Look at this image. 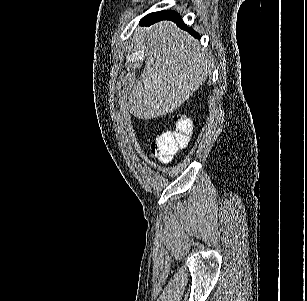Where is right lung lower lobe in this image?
I'll return each instance as SVG.
<instances>
[{"instance_id": "right-lung-lower-lobe-1", "label": "right lung lower lobe", "mask_w": 307, "mask_h": 301, "mask_svg": "<svg viewBox=\"0 0 307 301\" xmlns=\"http://www.w3.org/2000/svg\"><path fill=\"white\" fill-rule=\"evenodd\" d=\"M161 20H172V21L176 22L179 27L186 29L193 36L199 38L198 34L195 31L186 27L183 24V20L178 13H176L174 11H170V10H164V11L150 13V14L146 15L141 20L140 24L145 25V26H149V25L154 24V23L161 21Z\"/></svg>"}]
</instances>
